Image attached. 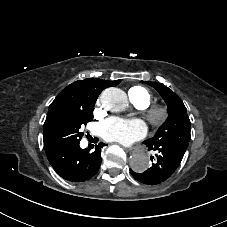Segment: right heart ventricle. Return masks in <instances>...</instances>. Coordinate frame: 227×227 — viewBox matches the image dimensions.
Instances as JSON below:
<instances>
[{
	"instance_id": "1",
	"label": "right heart ventricle",
	"mask_w": 227,
	"mask_h": 227,
	"mask_svg": "<svg viewBox=\"0 0 227 227\" xmlns=\"http://www.w3.org/2000/svg\"><path fill=\"white\" fill-rule=\"evenodd\" d=\"M130 99L140 108H145L151 102V94L145 88L134 86L128 90Z\"/></svg>"
}]
</instances>
